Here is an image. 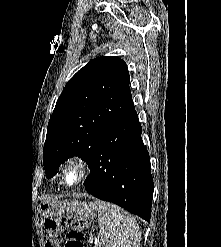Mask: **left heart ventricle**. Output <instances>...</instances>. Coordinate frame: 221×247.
<instances>
[{"label": "left heart ventricle", "instance_id": "left-heart-ventricle-1", "mask_svg": "<svg viewBox=\"0 0 221 247\" xmlns=\"http://www.w3.org/2000/svg\"><path fill=\"white\" fill-rule=\"evenodd\" d=\"M77 178H78L77 172L74 171V170H72V171H70V172L68 173L67 181H68L69 183H73V182H75V181L77 180Z\"/></svg>", "mask_w": 221, "mask_h": 247}]
</instances>
